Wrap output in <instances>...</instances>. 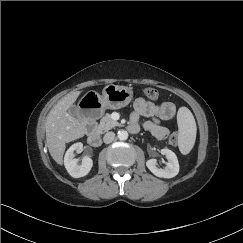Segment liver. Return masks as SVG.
I'll use <instances>...</instances> for the list:
<instances>
[{
  "instance_id": "obj_1",
  "label": "liver",
  "mask_w": 243,
  "mask_h": 243,
  "mask_svg": "<svg viewBox=\"0 0 243 243\" xmlns=\"http://www.w3.org/2000/svg\"><path fill=\"white\" fill-rule=\"evenodd\" d=\"M81 91H72L61 98L50 110L46 121V144L54 161L62 165L66 143L85 135L84 125L68 113Z\"/></svg>"
}]
</instances>
